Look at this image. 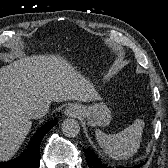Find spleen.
I'll return each instance as SVG.
<instances>
[{"mask_svg": "<svg viewBox=\"0 0 168 168\" xmlns=\"http://www.w3.org/2000/svg\"><path fill=\"white\" fill-rule=\"evenodd\" d=\"M143 120H136L124 130L116 134H106L96 130V140L103 151L115 160L128 159L133 156L140 147Z\"/></svg>", "mask_w": 168, "mask_h": 168, "instance_id": "1", "label": "spleen"}]
</instances>
